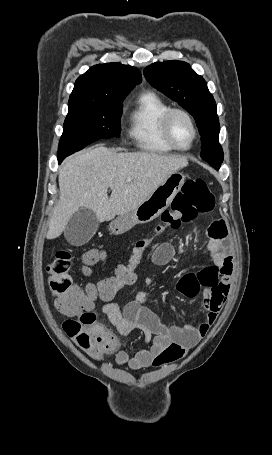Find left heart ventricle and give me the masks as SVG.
<instances>
[{"instance_id":"obj_1","label":"left heart ventricle","mask_w":272,"mask_h":455,"mask_svg":"<svg viewBox=\"0 0 272 455\" xmlns=\"http://www.w3.org/2000/svg\"><path fill=\"white\" fill-rule=\"evenodd\" d=\"M170 127L175 143L180 147H187L193 137V131L187 119L180 114H176L171 120Z\"/></svg>"}]
</instances>
